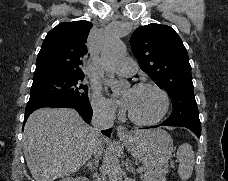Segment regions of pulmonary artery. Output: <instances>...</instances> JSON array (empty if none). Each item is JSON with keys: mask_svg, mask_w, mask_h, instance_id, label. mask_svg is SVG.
Returning <instances> with one entry per match:
<instances>
[{"mask_svg": "<svg viewBox=\"0 0 228 181\" xmlns=\"http://www.w3.org/2000/svg\"><path fill=\"white\" fill-rule=\"evenodd\" d=\"M121 62H125L124 65H117V70H124V75H135L137 71V62H132V57L121 58Z\"/></svg>", "mask_w": 228, "mask_h": 181, "instance_id": "1", "label": "pulmonary artery"}]
</instances>
